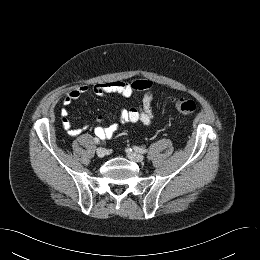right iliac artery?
<instances>
[{"mask_svg": "<svg viewBox=\"0 0 260 260\" xmlns=\"http://www.w3.org/2000/svg\"><path fill=\"white\" fill-rule=\"evenodd\" d=\"M94 142H95V144H99V143H100V141H99L98 138H95V139H94Z\"/></svg>", "mask_w": 260, "mask_h": 260, "instance_id": "obj_1", "label": "right iliac artery"}]
</instances>
